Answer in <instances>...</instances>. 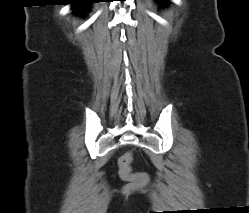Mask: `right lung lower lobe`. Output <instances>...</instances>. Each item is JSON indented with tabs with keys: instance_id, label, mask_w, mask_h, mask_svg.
<instances>
[{
	"instance_id": "obj_1",
	"label": "right lung lower lobe",
	"mask_w": 249,
	"mask_h": 213,
	"mask_svg": "<svg viewBox=\"0 0 249 213\" xmlns=\"http://www.w3.org/2000/svg\"><path fill=\"white\" fill-rule=\"evenodd\" d=\"M76 10H85L88 4L93 3L95 0H69Z\"/></svg>"
}]
</instances>
